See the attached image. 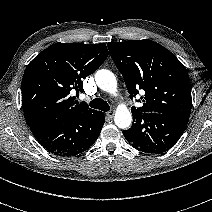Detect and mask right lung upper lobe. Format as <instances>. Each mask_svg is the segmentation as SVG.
I'll return each instance as SVG.
<instances>
[{
	"instance_id": "1",
	"label": "right lung upper lobe",
	"mask_w": 212,
	"mask_h": 212,
	"mask_svg": "<svg viewBox=\"0 0 212 212\" xmlns=\"http://www.w3.org/2000/svg\"><path fill=\"white\" fill-rule=\"evenodd\" d=\"M108 56L104 43H55L26 67L22 79V107L29 127L49 119L97 112L70 95L83 92L82 79L96 71Z\"/></svg>"
}]
</instances>
